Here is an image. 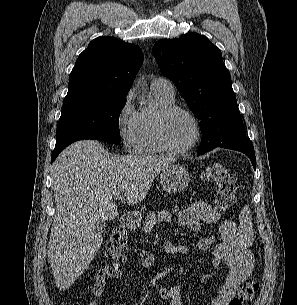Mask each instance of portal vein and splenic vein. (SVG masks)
<instances>
[{
	"label": "portal vein and splenic vein",
	"instance_id": "portal-vein-and-splenic-vein-1",
	"mask_svg": "<svg viewBox=\"0 0 297 305\" xmlns=\"http://www.w3.org/2000/svg\"><path fill=\"white\" fill-rule=\"evenodd\" d=\"M114 199H116V200L122 199V194L121 193H115L114 194Z\"/></svg>",
	"mask_w": 297,
	"mask_h": 305
}]
</instances>
